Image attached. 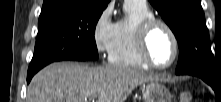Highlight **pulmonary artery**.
Returning a JSON list of instances; mask_svg holds the SVG:
<instances>
[{
    "label": "pulmonary artery",
    "instance_id": "1",
    "mask_svg": "<svg viewBox=\"0 0 221 102\" xmlns=\"http://www.w3.org/2000/svg\"><path fill=\"white\" fill-rule=\"evenodd\" d=\"M126 1H135V2H138V3L146 4V1H145V0H126ZM126 1H125V2H126Z\"/></svg>",
    "mask_w": 221,
    "mask_h": 102
}]
</instances>
